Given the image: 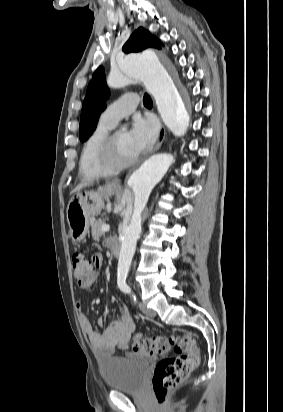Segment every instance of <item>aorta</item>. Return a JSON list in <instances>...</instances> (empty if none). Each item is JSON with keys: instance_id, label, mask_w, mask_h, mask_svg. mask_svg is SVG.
<instances>
[{"instance_id": "1", "label": "aorta", "mask_w": 283, "mask_h": 412, "mask_svg": "<svg viewBox=\"0 0 283 412\" xmlns=\"http://www.w3.org/2000/svg\"><path fill=\"white\" fill-rule=\"evenodd\" d=\"M142 82L153 95L165 125L175 135H184L189 125V115L184 100L169 73L167 65L156 52L147 50L141 54L126 56L118 70L110 73L107 84L119 88L130 83ZM169 153L153 155L128 178L127 187L134 196L131 220L121 233V250L118 259V275H127L141 233V214L149 196L173 163Z\"/></svg>"}]
</instances>
